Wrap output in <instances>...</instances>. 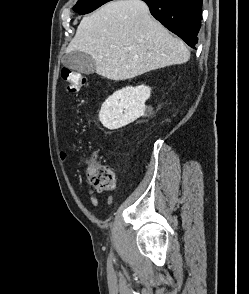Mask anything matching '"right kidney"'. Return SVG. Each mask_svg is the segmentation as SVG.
<instances>
[{
    "label": "right kidney",
    "instance_id": "1",
    "mask_svg": "<svg viewBox=\"0 0 249 294\" xmlns=\"http://www.w3.org/2000/svg\"><path fill=\"white\" fill-rule=\"evenodd\" d=\"M150 94L151 89L146 85L128 86L116 91L102 104L99 112L100 122L107 129L115 130L145 113L151 114L152 108L145 106Z\"/></svg>",
    "mask_w": 249,
    "mask_h": 294
}]
</instances>
